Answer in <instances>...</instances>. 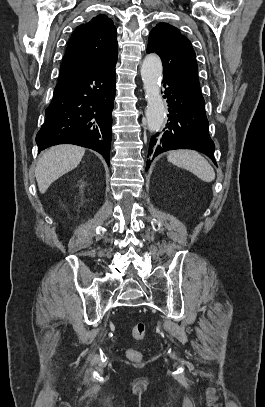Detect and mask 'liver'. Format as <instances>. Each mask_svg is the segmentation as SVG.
Returning <instances> with one entry per match:
<instances>
[{
	"label": "liver",
	"mask_w": 265,
	"mask_h": 407,
	"mask_svg": "<svg viewBox=\"0 0 265 407\" xmlns=\"http://www.w3.org/2000/svg\"><path fill=\"white\" fill-rule=\"evenodd\" d=\"M85 149L76 145H56L47 149L38 161L35 177L40 193L44 194L58 178L76 168Z\"/></svg>",
	"instance_id": "1"
}]
</instances>
